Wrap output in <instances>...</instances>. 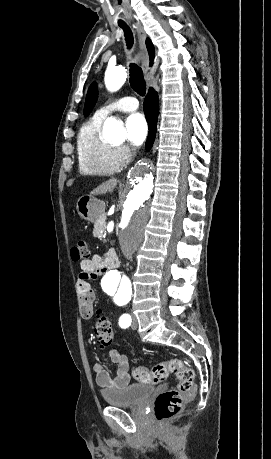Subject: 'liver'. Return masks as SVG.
Segmentation results:
<instances>
[{
    "label": "liver",
    "mask_w": 271,
    "mask_h": 459,
    "mask_svg": "<svg viewBox=\"0 0 271 459\" xmlns=\"http://www.w3.org/2000/svg\"><path fill=\"white\" fill-rule=\"evenodd\" d=\"M118 180H115V178H112V180H107V182H104V184H101V186H97L95 190H92L91 196H98V194H107V192H112L113 188L117 186Z\"/></svg>",
    "instance_id": "1"
}]
</instances>
